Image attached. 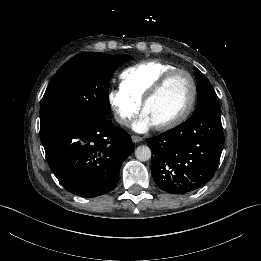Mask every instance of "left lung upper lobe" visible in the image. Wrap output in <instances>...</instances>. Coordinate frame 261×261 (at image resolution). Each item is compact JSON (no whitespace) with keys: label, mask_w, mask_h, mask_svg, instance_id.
I'll list each match as a JSON object with an SVG mask.
<instances>
[{"label":"left lung upper lobe","mask_w":261,"mask_h":261,"mask_svg":"<svg viewBox=\"0 0 261 261\" xmlns=\"http://www.w3.org/2000/svg\"><path fill=\"white\" fill-rule=\"evenodd\" d=\"M194 70L197 79L198 93V104L196 110L202 109L207 105L217 104V99L214 90L207 77L196 67L194 68Z\"/></svg>","instance_id":"obj_1"}]
</instances>
